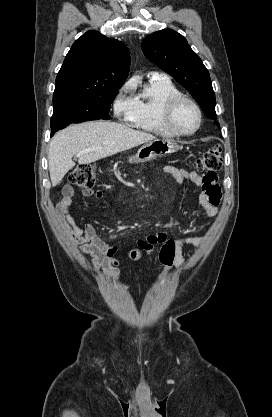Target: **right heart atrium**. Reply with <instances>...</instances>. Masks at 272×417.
<instances>
[{
    "instance_id": "right-heart-atrium-1",
    "label": "right heart atrium",
    "mask_w": 272,
    "mask_h": 417,
    "mask_svg": "<svg viewBox=\"0 0 272 417\" xmlns=\"http://www.w3.org/2000/svg\"><path fill=\"white\" fill-rule=\"evenodd\" d=\"M131 88V83H125L119 89L112 102L115 116L124 121H129L134 111V99L129 95Z\"/></svg>"
}]
</instances>
